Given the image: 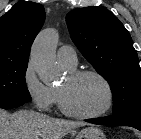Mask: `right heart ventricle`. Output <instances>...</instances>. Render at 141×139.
I'll use <instances>...</instances> for the list:
<instances>
[{"label": "right heart ventricle", "instance_id": "1", "mask_svg": "<svg viewBox=\"0 0 141 139\" xmlns=\"http://www.w3.org/2000/svg\"><path fill=\"white\" fill-rule=\"evenodd\" d=\"M69 71H72L74 70V68H67ZM54 92H55V98H56V101L55 102H59V97H58V91L57 89H54Z\"/></svg>", "mask_w": 141, "mask_h": 139}]
</instances>
